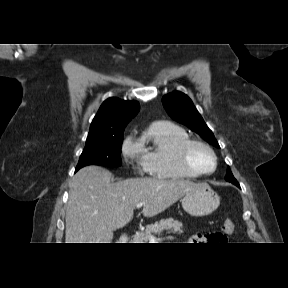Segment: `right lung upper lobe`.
<instances>
[{"instance_id":"1","label":"right lung upper lobe","mask_w":288,"mask_h":288,"mask_svg":"<svg viewBox=\"0 0 288 288\" xmlns=\"http://www.w3.org/2000/svg\"><path fill=\"white\" fill-rule=\"evenodd\" d=\"M139 103L112 97L104 101L94 117L87 141L124 132L125 126L138 113Z\"/></svg>"}]
</instances>
